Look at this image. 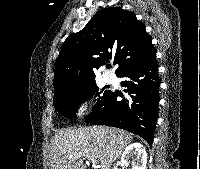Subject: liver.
Wrapping results in <instances>:
<instances>
[{
    "label": "liver",
    "mask_w": 200,
    "mask_h": 169,
    "mask_svg": "<svg viewBox=\"0 0 200 169\" xmlns=\"http://www.w3.org/2000/svg\"><path fill=\"white\" fill-rule=\"evenodd\" d=\"M132 139L126 131L105 126L60 130L52 139L50 169H85L86 158L110 169Z\"/></svg>",
    "instance_id": "obj_1"
}]
</instances>
